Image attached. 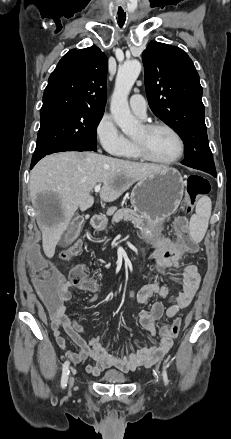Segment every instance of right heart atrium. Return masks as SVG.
<instances>
[{
    "label": "right heart atrium",
    "mask_w": 231,
    "mask_h": 439,
    "mask_svg": "<svg viewBox=\"0 0 231 439\" xmlns=\"http://www.w3.org/2000/svg\"><path fill=\"white\" fill-rule=\"evenodd\" d=\"M95 135L101 147L110 155L122 156L128 148V140L118 129L110 114H103L95 127Z\"/></svg>",
    "instance_id": "obj_1"
}]
</instances>
